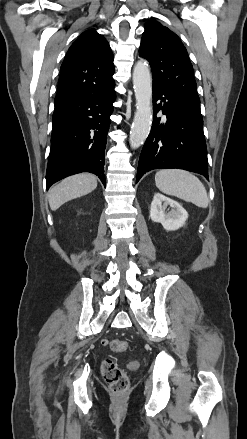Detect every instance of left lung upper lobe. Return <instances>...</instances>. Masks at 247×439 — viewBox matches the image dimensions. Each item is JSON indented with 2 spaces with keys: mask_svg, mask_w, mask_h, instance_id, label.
<instances>
[{
  "mask_svg": "<svg viewBox=\"0 0 247 439\" xmlns=\"http://www.w3.org/2000/svg\"><path fill=\"white\" fill-rule=\"evenodd\" d=\"M139 55L149 61L153 85L200 107L192 64L186 48L174 32L155 20L149 21L145 25Z\"/></svg>",
  "mask_w": 247,
  "mask_h": 439,
  "instance_id": "left-lung-upper-lobe-1",
  "label": "left lung upper lobe"
}]
</instances>
